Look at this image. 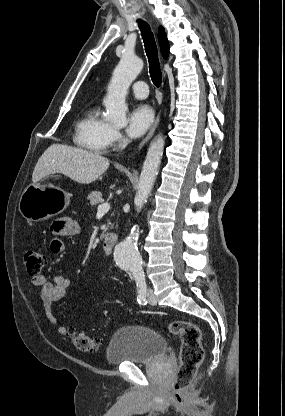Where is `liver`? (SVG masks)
<instances>
[{"label":"liver","instance_id":"liver-1","mask_svg":"<svg viewBox=\"0 0 285 416\" xmlns=\"http://www.w3.org/2000/svg\"><path fill=\"white\" fill-rule=\"evenodd\" d=\"M109 168V160L100 154L52 144L39 158L32 174L33 184L50 174H64L78 184H92Z\"/></svg>","mask_w":285,"mask_h":416}]
</instances>
